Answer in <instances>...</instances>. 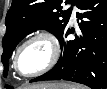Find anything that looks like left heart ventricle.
Returning <instances> with one entry per match:
<instances>
[{
  "label": "left heart ventricle",
  "mask_w": 107,
  "mask_h": 89,
  "mask_svg": "<svg viewBox=\"0 0 107 89\" xmlns=\"http://www.w3.org/2000/svg\"><path fill=\"white\" fill-rule=\"evenodd\" d=\"M51 58V47L45 39L29 42L20 52L19 70L24 74L36 72L47 65Z\"/></svg>",
  "instance_id": "b2bd125f"
}]
</instances>
